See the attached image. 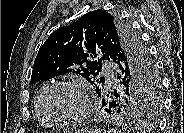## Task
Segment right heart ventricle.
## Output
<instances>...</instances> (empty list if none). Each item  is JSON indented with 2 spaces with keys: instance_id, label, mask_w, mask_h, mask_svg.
<instances>
[{
  "instance_id": "obj_1",
  "label": "right heart ventricle",
  "mask_w": 184,
  "mask_h": 133,
  "mask_svg": "<svg viewBox=\"0 0 184 133\" xmlns=\"http://www.w3.org/2000/svg\"><path fill=\"white\" fill-rule=\"evenodd\" d=\"M48 85H44L38 92L36 99H35V112L36 115L39 119V121L45 125H48V121L45 119L42 111H41V107H40V103H41V98L43 96L44 91L47 89Z\"/></svg>"
}]
</instances>
